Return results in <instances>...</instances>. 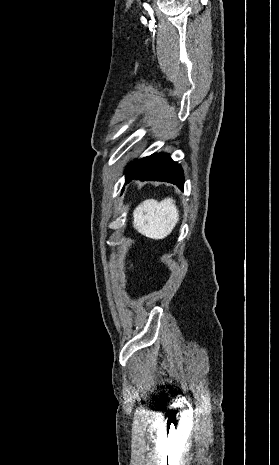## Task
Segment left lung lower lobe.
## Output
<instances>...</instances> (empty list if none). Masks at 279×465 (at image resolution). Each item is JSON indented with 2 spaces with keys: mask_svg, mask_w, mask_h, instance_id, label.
I'll use <instances>...</instances> for the list:
<instances>
[{
  "mask_svg": "<svg viewBox=\"0 0 279 465\" xmlns=\"http://www.w3.org/2000/svg\"><path fill=\"white\" fill-rule=\"evenodd\" d=\"M133 179L140 181H165L177 185L183 190V170L177 162H174L167 154H154L127 182Z\"/></svg>",
  "mask_w": 279,
  "mask_h": 465,
  "instance_id": "1",
  "label": "left lung lower lobe"
}]
</instances>
